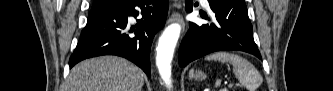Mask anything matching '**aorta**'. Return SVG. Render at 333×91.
Returning <instances> with one entry per match:
<instances>
[{
	"label": "aorta",
	"instance_id": "762f6f07",
	"mask_svg": "<svg viewBox=\"0 0 333 91\" xmlns=\"http://www.w3.org/2000/svg\"><path fill=\"white\" fill-rule=\"evenodd\" d=\"M181 32L179 24L168 26L159 38L156 63L164 83L171 87V61Z\"/></svg>",
	"mask_w": 333,
	"mask_h": 91
}]
</instances>
